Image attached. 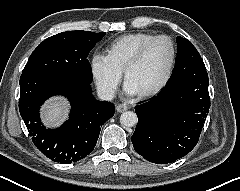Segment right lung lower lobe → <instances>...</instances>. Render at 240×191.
<instances>
[{"mask_svg": "<svg viewBox=\"0 0 240 191\" xmlns=\"http://www.w3.org/2000/svg\"><path fill=\"white\" fill-rule=\"evenodd\" d=\"M53 95H63L71 103L67 122L57 129H46L39 117L40 106ZM19 110L34 145L49 159L70 164L94 149L102 124L115 107L96 100L90 83L58 73L21 75Z\"/></svg>", "mask_w": 240, "mask_h": 191, "instance_id": "right-lung-lower-lobe-1", "label": "right lung lower lobe"}]
</instances>
